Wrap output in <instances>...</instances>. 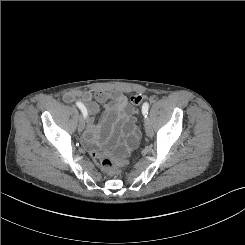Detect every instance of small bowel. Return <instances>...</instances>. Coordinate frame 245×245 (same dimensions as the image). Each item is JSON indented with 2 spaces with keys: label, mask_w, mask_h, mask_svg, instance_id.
Masks as SVG:
<instances>
[{
  "label": "small bowel",
  "mask_w": 245,
  "mask_h": 245,
  "mask_svg": "<svg viewBox=\"0 0 245 245\" xmlns=\"http://www.w3.org/2000/svg\"><path fill=\"white\" fill-rule=\"evenodd\" d=\"M79 97L87 106L89 114L95 115L99 111V104L106 103L105 117L100 125H97L91 119L88 125L86 141L89 145L97 142V132H108L112 126H115V132L122 140L120 148L121 153H126L133 148L140 136L139 130L135 126V117L130 111L127 97L120 91H97L92 93L86 91L69 92L64 96L66 102H71Z\"/></svg>",
  "instance_id": "1"
}]
</instances>
